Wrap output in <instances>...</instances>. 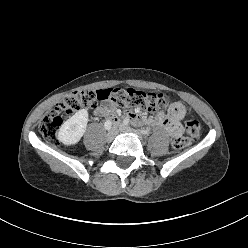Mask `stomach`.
<instances>
[{
  "label": "stomach",
  "mask_w": 248,
  "mask_h": 248,
  "mask_svg": "<svg viewBox=\"0 0 248 248\" xmlns=\"http://www.w3.org/2000/svg\"><path fill=\"white\" fill-rule=\"evenodd\" d=\"M144 105L147 110L155 113L160 114L165 111L167 107V102L164 97L157 93H151L146 96L144 100Z\"/></svg>",
  "instance_id": "1"
}]
</instances>
